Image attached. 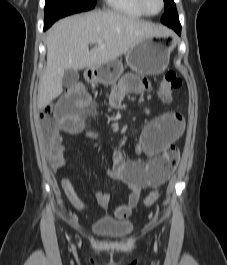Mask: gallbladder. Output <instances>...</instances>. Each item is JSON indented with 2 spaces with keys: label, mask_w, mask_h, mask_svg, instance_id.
Instances as JSON below:
<instances>
[{
  "label": "gallbladder",
  "mask_w": 227,
  "mask_h": 265,
  "mask_svg": "<svg viewBox=\"0 0 227 265\" xmlns=\"http://www.w3.org/2000/svg\"><path fill=\"white\" fill-rule=\"evenodd\" d=\"M78 79H79L78 71L74 69H68L64 73L62 83L64 86L68 87L75 84L78 81Z\"/></svg>",
  "instance_id": "bac80fb5"
}]
</instances>
